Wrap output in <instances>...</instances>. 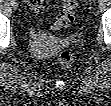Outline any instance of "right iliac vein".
Wrapping results in <instances>:
<instances>
[{"instance_id":"63e3f726","label":"right iliac vein","mask_w":111,"mask_h":106,"mask_svg":"<svg viewBox=\"0 0 111 106\" xmlns=\"http://www.w3.org/2000/svg\"><path fill=\"white\" fill-rule=\"evenodd\" d=\"M11 6H12V8L17 9L18 3L15 0H13V1H11Z\"/></svg>"}]
</instances>
